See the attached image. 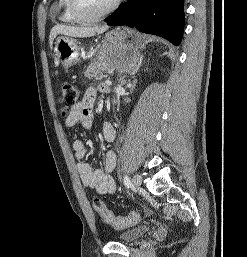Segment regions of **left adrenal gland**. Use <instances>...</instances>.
Here are the masks:
<instances>
[{
	"mask_svg": "<svg viewBox=\"0 0 247 257\" xmlns=\"http://www.w3.org/2000/svg\"><path fill=\"white\" fill-rule=\"evenodd\" d=\"M141 62H142V57H140V60H139V62H138V65H137V67L131 72V75H134V74L138 71V69L140 68Z\"/></svg>",
	"mask_w": 247,
	"mask_h": 257,
	"instance_id": "obj_1",
	"label": "left adrenal gland"
}]
</instances>
